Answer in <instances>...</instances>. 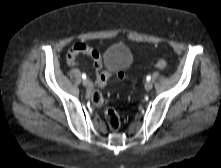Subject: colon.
I'll return each mask as SVG.
<instances>
[{
  "instance_id": "obj_1",
  "label": "colon",
  "mask_w": 221,
  "mask_h": 168,
  "mask_svg": "<svg viewBox=\"0 0 221 168\" xmlns=\"http://www.w3.org/2000/svg\"><path fill=\"white\" fill-rule=\"evenodd\" d=\"M155 66L159 69H164L167 67V62L165 60L161 59L156 62ZM90 99H91V102L95 106H103L104 105L103 95L98 91L92 92ZM105 119H106L108 127L111 130L119 129V127L121 125V119H120L119 114L114 109H112L110 107H106Z\"/></svg>"
}]
</instances>
